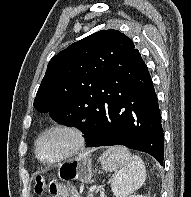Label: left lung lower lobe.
Returning a JSON list of instances; mask_svg holds the SVG:
<instances>
[{"label": "left lung lower lobe", "mask_w": 191, "mask_h": 197, "mask_svg": "<svg viewBox=\"0 0 191 197\" xmlns=\"http://www.w3.org/2000/svg\"><path fill=\"white\" fill-rule=\"evenodd\" d=\"M89 147L123 145L164 160V135L158 100L148 69L124 76L84 121Z\"/></svg>", "instance_id": "obj_1"}]
</instances>
